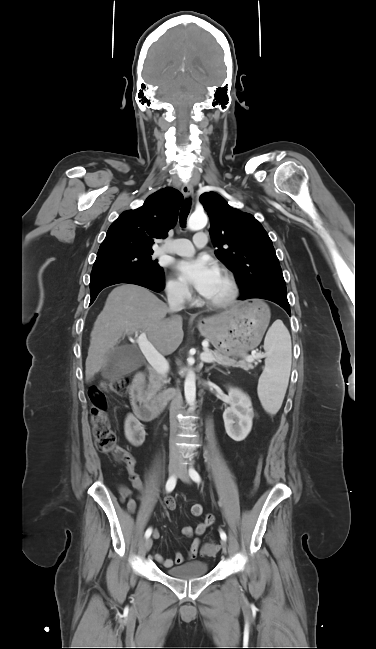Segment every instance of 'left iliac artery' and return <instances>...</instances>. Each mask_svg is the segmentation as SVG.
I'll return each instance as SVG.
<instances>
[{"mask_svg":"<svg viewBox=\"0 0 376 649\" xmlns=\"http://www.w3.org/2000/svg\"><path fill=\"white\" fill-rule=\"evenodd\" d=\"M189 475H190V477L192 478L193 481H195L197 483L201 482V477L194 468L191 467L189 469ZM220 537H221L222 540H225V541L227 539L226 533L224 531H222V530L220 531Z\"/></svg>","mask_w":376,"mask_h":649,"instance_id":"obj_1","label":"left iliac artery"}]
</instances>
